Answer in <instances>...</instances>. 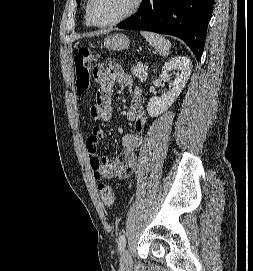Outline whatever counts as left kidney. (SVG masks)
<instances>
[{
    "mask_svg": "<svg viewBox=\"0 0 253 271\" xmlns=\"http://www.w3.org/2000/svg\"><path fill=\"white\" fill-rule=\"evenodd\" d=\"M191 72L192 62L187 57H174L165 63L160 74V79L164 82H169L172 89L160 97L150 98L147 105L149 116L157 117L172 106L185 87ZM172 74L175 75V77L171 78Z\"/></svg>",
    "mask_w": 253,
    "mask_h": 271,
    "instance_id": "left-kidney-1",
    "label": "left kidney"
}]
</instances>
